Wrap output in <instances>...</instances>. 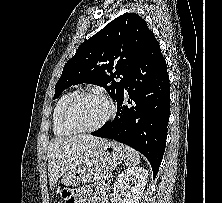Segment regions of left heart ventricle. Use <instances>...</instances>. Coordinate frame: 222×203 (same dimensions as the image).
I'll use <instances>...</instances> for the list:
<instances>
[{
  "instance_id": "obj_1",
  "label": "left heart ventricle",
  "mask_w": 222,
  "mask_h": 203,
  "mask_svg": "<svg viewBox=\"0 0 222 203\" xmlns=\"http://www.w3.org/2000/svg\"><path fill=\"white\" fill-rule=\"evenodd\" d=\"M108 113L107 104L98 97H83L72 108V119L80 126L90 127L99 123Z\"/></svg>"
}]
</instances>
